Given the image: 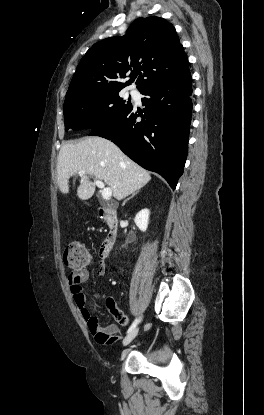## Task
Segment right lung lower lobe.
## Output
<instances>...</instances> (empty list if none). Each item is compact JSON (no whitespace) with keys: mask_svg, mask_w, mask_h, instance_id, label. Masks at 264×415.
Here are the masks:
<instances>
[{"mask_svg":"<svg viewBox=\"0 0 264 415\" xmlns=\"http://www.w3.org/2000/svg\"><path fill=\"white\" fill-rule=\"evenodd\" d=\"M144 115L133 106L89 135L111 140L143 168L160 174L172 189L183 173L192 116L191 74L140 92ZM140 116L141 121L136 118Z\"/></svg>","mask_w":264,"mask_h":415,"instance_id":"1","label":"right lung lower lobe"}]
</instances>
